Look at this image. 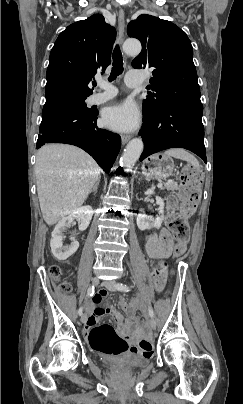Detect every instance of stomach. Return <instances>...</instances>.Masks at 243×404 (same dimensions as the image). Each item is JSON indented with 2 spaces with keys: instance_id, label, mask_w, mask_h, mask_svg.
<instances>
[{
  "instance_id": "obj_1",
  "label": "stomach",
  "mask_w": 243,
  "mask_h": 404,
  "mask_svg": "<svg viewBox=\"0 0 243 404\" xmlns=\"http://www.w3.org/2000/svg\"><path fill=\"white\" fill-rule=\"evenodd\" d=\"M174 162L165 154H154L142 164V173L148 179H166L173 174Z\"/></svg>"
}]
</instances>
